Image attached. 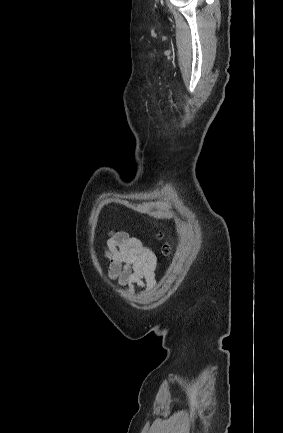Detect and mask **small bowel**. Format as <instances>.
<instances>
[{
	"instance_id": "obj_1",
	"label": "small bowel",
	"mask_w": 283,
	"mask_h": 433,
	"mask_svg": "<svg viewBox=\"0 0 283 433\" xmlns=\"http://www.w3.org/2000/svg\"><path fill=\"white\" fill-rule=\"evenodd\" d=\"M104 254L108 260V276L118 280L129 293L135 288L151 289L155 283L157 259L151 249L126 232H112Z\"/></svg>"
}]
</instances>
